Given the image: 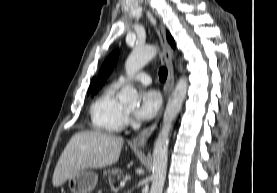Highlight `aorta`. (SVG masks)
I'll use <instances>...</instances> for the list:
<instances>
[{"instance_id": "obj_1", "label": "aorta", "mask_w": 277, "mask_h": 193, "mask_svg": "<svg viewBox=\"0 0 277 193\" xmlns=\"http://www.w3.org/2000/svg\"><path fill=\"white\" fill-rule=\"evenodd\" d=\"M157 54L154 46L135 47L125 62V70L128 77L133 76L142 69ZM187 79L181 77L168 99L163 116V123L159 135L154 144L152 185L150 193H162L167 171V155L170 130L174 120L181 110L183 101L187 93ZM121 103L135 105L138 102L137 91L131 86L126 85L119 94Z\"/></svg>"}]
</instances>
